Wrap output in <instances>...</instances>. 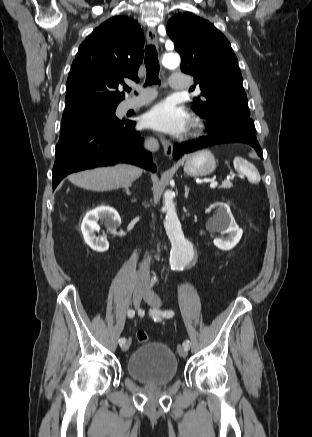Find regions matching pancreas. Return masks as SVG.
I'll list each match as a JSON object with an SVG mask.
<instances>
[{
    "label": "pancreas",
    "mask_w": 312,
    "mask_h": 437,
    "mask_svg": "<svg viewBox=\"0 0 312 437\" xmlns=\"http://www.w3.org/2000/svg\"><path fill=\"white\" fill-rule=\"evenodd\" d=\"M232 186H233V184L230 181H224L222 183V185L220 186V188L230 189Z\"/></svg>",
    "instance_id": "obj_1"
}]
</instances>
